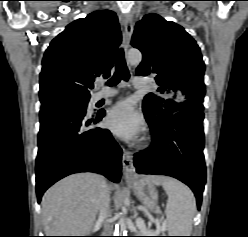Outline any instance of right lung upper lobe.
I'll return each mask as SVG.
<instances>
[{
  "label": "right lung upper lobe",
  "instance_id": "right-lung-upper-lobe-1",
  "mask_svg": "<svg viewBox=\"0 0 248 237\" xmlns=\"http://www.w3.org/2000/svg\"><path fill=\"white\" fill-rule=\"evenodd\" d=\"M120 42L118 18L112 11H96L70 23L44 54L42 106L61 99L89 100L96 77H109Z\"/></svg>",
  "mask_w": 248,
  "mask_h": 237
}]
</instances>
